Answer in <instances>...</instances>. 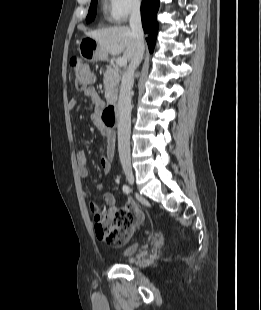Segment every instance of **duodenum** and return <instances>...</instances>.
I'll return each mask as SVG.
<instances>
[{
  "mask_svg": "<svg viewBox=\"0 0 261 310\" xmlns=\"http://www.w3.org/2000/svg\"><path fill=\"white\" fill-rule=\"evenodd\" d=\"M102 122L105 126L113 128L117 124V107L115 104L107 105L101 115Z\"/></svg>",
  "mask_w": 261,
  "mask_h": 310,
  "instance_id": "duodenum-1",
  "label": "duodenum"
}]
</instances>
